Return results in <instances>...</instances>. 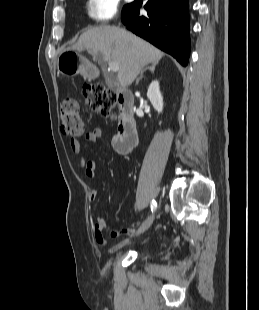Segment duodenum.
<instances>
[{
    "label": "duodenum",
    "instance_id": "obj_1",
    "mask_svg": "<svg viewBox=\"0 0 259 310\" xmlns=\"http://www.w3.org/2000/svg\"><path fill=\"white\" fill-rule=\"evenodd\" d=\"M117 103L119 107V125L114 144L121 153L128 154L134 150L138 141L132 93L124 89L118 90Z\"/></svg>",
    "mask_w": 259,
    "mask_h": 310
}]
</instances>
